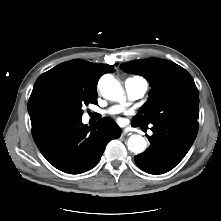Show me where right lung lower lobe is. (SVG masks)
<instances>
[{"label":"right lung lower lobe","mask_w":221,"mask_h":221,"mask_svg":"<svg viewBox=\"0 0 221 221\" xmlns=\"http://www.w3.org/2000/svg\"><path fill=\"white\" fill-rule=\"evenodd\" d=\"M34 141L42 155L57 169L80 174L92 169L105 147L119 138V126L108 118L93 127L82 124V117H55L32 128Z\"/></svg>","instance_id":"right-lung-lower-lobe-1"}]
</instances>
